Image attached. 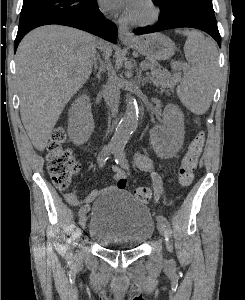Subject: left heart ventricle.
Listing matches in <instances>:
<instances>
[{
  "label": "left heart ventricle",
  "instance_id": "obj_1",
  "mask_svg": "<svg viewBox=\"0 0 245 300\" xmlns=\"http://www.w3.org/2000/svg\"><path fill=\"white\" fill-rule=\"evenodd\" d=\"M150 14L149 8L146 6V4L143 2V0H140V2L135 7L131 18L134 19H143L148 17Z\"/></svg>",
  "mask_w": 245,
  "mask_h": 300
}]
</instances>
